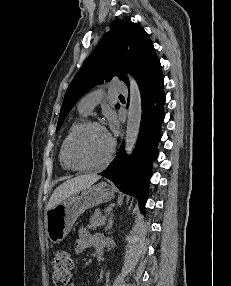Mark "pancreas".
Masks as SVG:
<instances>
[{
  "label": "pancreas",
  "instance_id": "1",
  "mask_svg": "<svg viewBox=\"0 0 231 286\" xmlns=\"http://www.w3.org/2000/svg\"><path fill=\"white\" fill-rule=\"evenodd\" d=\"M107 213L102 215L100 211H96L91 217L89 225L87 226L88 229H95L97 227H101L105 224L107 219Z\"/></svg>",
  "mask_w": 231,
  "mask_h": 286
}]
</instances>
